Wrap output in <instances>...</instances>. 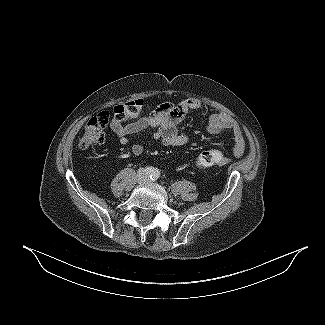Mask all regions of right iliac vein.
Instances as JSON below:
<instances>
[{
    "label": "right iliac vein",
    "mask_w": 325,
    "mask_h": 325,
    "mask_svg": "<svg viewBox=\"0 0 325 325\" xmlns=\"http://www.w3.org/2000/svg\"><path fill=\"white\" fill-rule=\"evenodd\" d=\"M139 174H140V176H141V175H142V172H140ZM140 176H139V179H138V181H141V178H140Z\"/></svg>",
    "instance_id": "obj_1"
}]
</instances>
